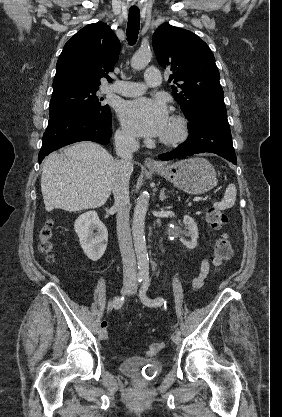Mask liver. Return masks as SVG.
I'll list each match as a JSON object with an SVG mask.
<instances>
[{"label":"liver","mask_w":282,"mask_h":417,"mask_svg":"<svg viewBox=\"0 0 282 417\" xmlns=\"http://www.w3.org/2000/svg\"><path fill=\"white\" fill-rule=\"evenodd\" d=\"M115 160L101 144L76 142L63 154L51 152L41 174L45 209L84 211L98 209L111 194Z\"/></svg>","instance_id":"1"}]
</instances>
